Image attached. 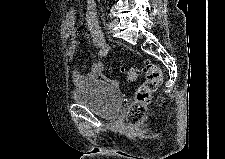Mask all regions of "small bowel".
Wrapping results in <instances>:
<instances>
[{"mask_svg":"<svg viewBox=\"0 0 225 159\" xmlns=\"http://www.w3.org/2000/svg\"><path fill=\"white\" fill-rule=\"evenodd\" d=\"M75 23L76 10L71 8L65 16V35L71 41L68 48V55L70 59L74 58L76 49L78 47V34ZM85 27L90 34L92 42L97 48V51L94 54L95 60L89 65L86 73L83 74L78 69H74L72 71L71 78L75 85H82L86 82L96 80L97 78L103 76L104 67L98 58L105 57L110 52V45L107 43L102 33L97 18L96 3L93 0H88L86 3Z\"/></svg>","mask_w":225,"mask_h":159,"instance_id":"obj_1","label":"small bowel"}]
</instances>
